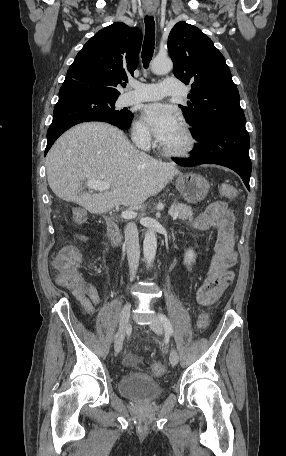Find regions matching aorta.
Here are the masks:
<instances>
[{
    "label": "aorta",
    "mask_w": 286,
    "mask_h": 456,
    "mask_svg": "<svg viewBox=\"0 0 286 456\" xmlns=\"http://www.w3.org/2000/svg\"><path fill=\"white\" fill-rule=\"evenodd\" d=\"M173 68V63L170 58L167 57H155L151 63V70L156 75H163L170 72ZM157 251V238L155 231L149 229L144 237L143 241V254L145 262L148 266H151L154 262Z\"/></svg>",
    "instance_id": "aorta-1"
}]
</instances>
